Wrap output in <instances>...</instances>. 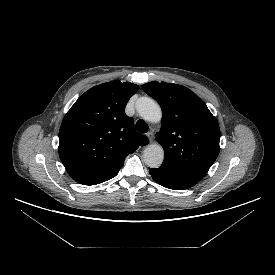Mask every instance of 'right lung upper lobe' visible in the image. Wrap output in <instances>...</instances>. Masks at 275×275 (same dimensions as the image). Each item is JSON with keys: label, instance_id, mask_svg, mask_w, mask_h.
<instances>
[{"label": "right lung upper lobe", "instance_id": "right-lung-upper-lobe-1", "mask_svg": "<svg viewBox=\"0 0 275 275\" xmlns=\"http://www.w3.org/2000/svg\"><path fill=\"white\" fill-rule=\"evenodd\" d=\"M138 89V85L120 81L97 85L65 115L58 151L68 174L78 183L95 185L115 177L126 156L148 144L125 114L128 100Z\"/></svg>", "mask_w": 275, "mask_h": 275}]
</instances>
